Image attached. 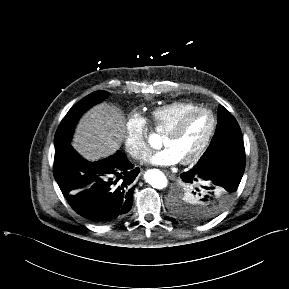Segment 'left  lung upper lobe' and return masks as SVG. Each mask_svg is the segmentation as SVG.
Returning <instances> with one entry per match:
<instances>
[{
  "label": "left lung upper lobe",
  "mask_w": 289,
  "mask_h": 289,
  "mask_svg": "<svg viewBox=\"0 0 289 289\" xmlns=\"http://www.w3.org/2000/svg\"><path fill=\"white\" fill-rule=\"evenodd\" d=\"M228 153H245V149L237 121L227 109L220 105L215 134L198 162ZM171 209L175 216L186 221L204 222L210 220V218L203 216L202 203L193 186L186 183L174 195Z\"/></svg>",
  "instance_id": "5c2ea615"
}]
</instances>
